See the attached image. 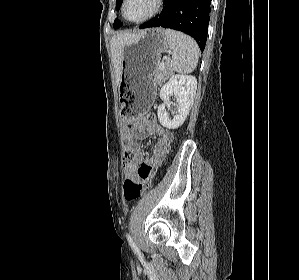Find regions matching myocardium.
<instances>
[{"instance_id": "1", "label": "myocardium", "mask_w": 299, "mask_h": 280, "mask_svg": "<svg viewBox=\"0 0 299 280\" xmlns=\"http://www.w3.org/2000/svg\"><path fill=\"white\" fill-rule=\"evenodd\" d=\"M127 2H128V0H123V4H122V15H123V17H124V19L126 21H128L130 23H133V24H141V23L149 21L150 19H152L153 17H155L160 12V10L162 9L163 4H164V0H155L154 7H153V9L151 10L150 13H148L146 16H144L141 19L130 20L126 16V5H127Z\"/></svg>"}]
</instances>
